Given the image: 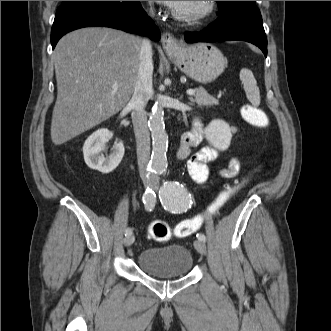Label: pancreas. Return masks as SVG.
<instances>
[{
	"label": "pancreas",
	"instance_id": "obj_1",
	"mask_svg": "<svg viewBox=\"0 0 331 331\" xmlns=\"http://www.w3.org/2000/svg\"><path fill=\"white\" fill-rule=\"evenodd\" d=\"M195 92L196 93L194 97H190L189 99L192 103H196L199 107L213 106L219 104V100L208 94V92L204 88H197L195 89Z\"/></svg>",
	"mask_w": 331,
	"mask_h": 331
}]
</instances>
